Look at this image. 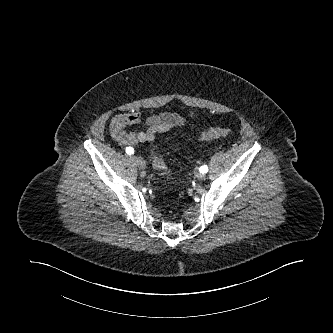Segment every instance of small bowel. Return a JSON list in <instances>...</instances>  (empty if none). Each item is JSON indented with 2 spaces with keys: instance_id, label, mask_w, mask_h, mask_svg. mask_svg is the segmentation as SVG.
<instances>
[{
  "instance_id": "obj_1",
  "label": "small bowel",
  "mask_w": 333,
  "mask_h": 333,
  "mask_svg": "<svg viewBox=\"0 0 333 333\" xmlns=\"http://www.w3.org/2000/svg\"><path fill=\"white\" fill-rule=\"evenodd\" d=\"M185 118L170 112L143 117L137 111L122 112L110 122V135L120 146H136L140 143L153 142L158 133L168 132L185 124ZM143 123L144 131H127L126 128Z\"/></svg>"
}]
</instances>
